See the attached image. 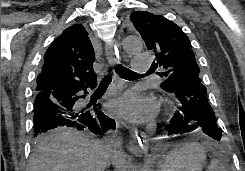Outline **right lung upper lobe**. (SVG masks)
I'll list each match as a JSON object with an SVG mask.
<instances>
[{
	"label": "right lung upper lobe",
	"instance_id": "obj_1",
	"mask_svg": "<svg viewBox=\"0 0 245 171\" xmlns=\"http://www.w3.org/2000/svg\"><path fill=\"white\" fill-rule=\"evenodd\" d=\"M94 61L95 53L86 29L80 24L68 27L44 55L36 92L97 83Z\"/></svg>",
	"mask_w": 245,
	"mask_h": 171
}]
</instances>
